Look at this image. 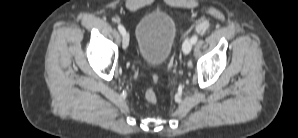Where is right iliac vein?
<instances>
[{
	"label": "right iliac vein",
	"mask_w": 298,
	"mask_h": 138,
	"mask_svg": "<svg viewBox=\"0 0 298 138\" xmlns=\"http://www.w3.org/2000/svg\"><path fill=\"white\" fill-rule=\"evenodd\" d=\"M127 38V34H125V39Z\"/></svg>",
	"instance_id": "obj_1"
}]
</instances>
